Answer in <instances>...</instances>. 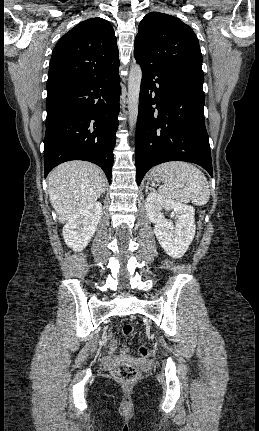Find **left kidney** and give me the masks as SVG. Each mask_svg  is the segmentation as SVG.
<instances>
[{
  "instance_id": "left-kidney-1",
  "label": "left kidney",
  "mask_w": 259,
  "mask_h": 431,
  "mask_svg": "<svg viewBox=\"0 0 259 431\" xmlns=\"http://www.w3.org/2000/svg\"><path fill=\"white\" fill-rule=\"evenodd\" d=\"M145 208L149 221L155 224L154 233L162 248L169 256L181 258L195 235L194 208L157 192L147 196ZM163 209L176 215L175 225L165 218Z\"/></svg>"
}]
</instances>
